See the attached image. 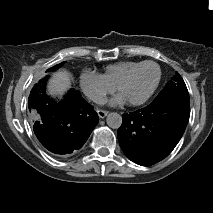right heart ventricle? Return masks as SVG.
<instances>
[{
	"label": "right heart ventricle",
	"instance_id": "e07e8e85",
	"mask_svg": "<svg viewBox=\"0 0 213 213\" xmlns=\"http://www.w3.org/2000/svg\"><path fill=\"white\" fill-rule=\"evenodd\" d=\"M140 62L120 61L114 64H109L104 67L100 74L110 85L116 87L119 80L134 66Z\"/></svg>",
	"mask_w": 213,
	"mask_h": 213
}]
</instances>
